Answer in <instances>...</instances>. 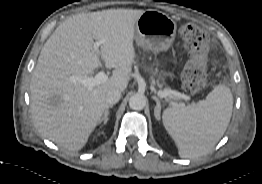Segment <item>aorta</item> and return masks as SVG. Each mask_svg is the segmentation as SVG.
<instances>
[{
  "label": "aorta",
  "mask_w": 262,
  "mask_h": 184,
  "mask_svg": "<svg viewBox=\"0 0 262 184\" xmlns=\"http://www.w3.org/2000/svg\"><path fill=\"white\" fill-rule=\"evenodd\" d=\"M147 99L142 94H134L129 99V107L133 110H142L146 106Z\"/></svg>",
  "instance_id": "obj_1"
}]
</instances>
